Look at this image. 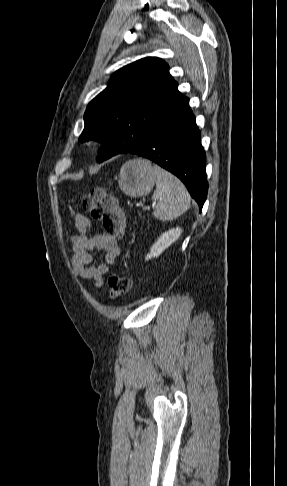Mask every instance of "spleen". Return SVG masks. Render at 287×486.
Returning a JSON list of instances; mask_svg holds the SVG:
<instances>
[{
  "mask_svg": "<svg viewBox=\"0 0 287 486\" xmlns=\"http://www.w3.org/2000/svg\"><path fill=\"white\" fill-rule=\"evenodd\" d=\"M153 169L156 173V189L152 196L156 202L153 216L160 221H171L190 208V195L176 176L159 166Z\"/></svg>",
  "mask_w": 287,
  "mask_h": 486,
  "instance_id": "1",
  "label": "spleen"
}]
</instances>
